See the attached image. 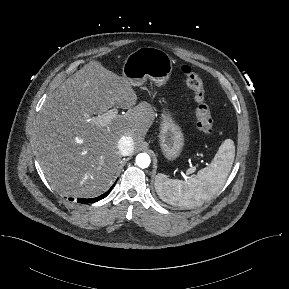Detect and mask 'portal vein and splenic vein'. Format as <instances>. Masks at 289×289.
<instances>
[{
    "mask_svg": "<svg viewBox=\"0 0 289 289\" xmlns=\"http://www.w3.org/2000/svg\"><path fill=\"white\" fill-rule=\"evenodd\" d=\"M118 114V109L113 108L102 115H98L94 118V121L100 125L108 124L113 118H115Z\"/></svg>",
    "mask_w": 289,
    "mask_h": 289,
    "instance_id": "obj_1",
    "label": "portal vein and splenic vein"
}]
</instances>
